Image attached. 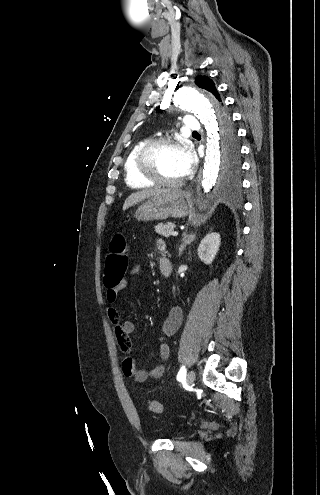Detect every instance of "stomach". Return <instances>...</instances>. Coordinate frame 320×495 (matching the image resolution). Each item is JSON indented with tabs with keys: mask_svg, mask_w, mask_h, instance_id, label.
<instances>
[{
	"mask_svg": "<svg viewBox=\"0 0 320 495\" xmlns=\"http://www.w3.org/2000/svg\"><path fill=\"white\" fill-rule=\"evenodd\" d=\"M189 213V196L175 188L157 195L143 203L135 212L138 221L164 220L169 217L182 218Z\"/></svg>",
	"mask_w": 320,
	"mask_h": 495,
	"instance_id": "stomach-1",
	"label": "stomach"
}]
</instances>
